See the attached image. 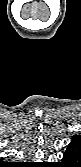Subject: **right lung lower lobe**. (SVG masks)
I'll return each instance as SVG.
<instances>
[{"label":"right lung lower lobe","mask_w":81,"mask_h":167,"mask_svg":"<svg viewBox=\"0 0 81 167\" xmlns=\"http://www.w3.org/2000/svg\"><path fill=\"white\" fill-rule=\"evenodd\" d=\"M8 166H15V165H13V164H8Z\"/></svg>","instance_id":"obj_1"}]
</instances>
